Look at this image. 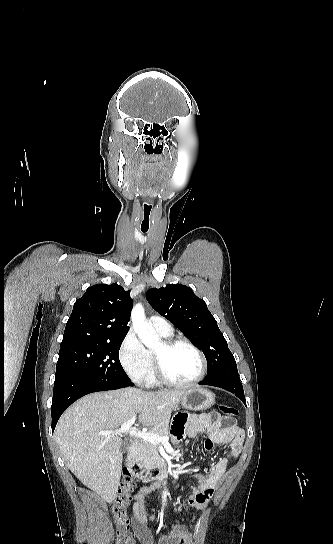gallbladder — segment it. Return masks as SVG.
<instances>
[{"instance_id":"1","label":"gallbladder","mask_w":333,"mask_h":544,"mask_svg":"<svg viewBox=\"0 0 333 544\" xmlns=\"http://www.w3.org/2000/svg\"><path fill=\"white\" fill-rule=\"evenodd\" d=\"M129 447V443L124 441L120 447V451L121 452H125L127 450V448Z\"/></svg>"}]
</instances>
